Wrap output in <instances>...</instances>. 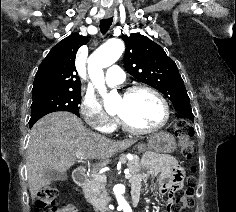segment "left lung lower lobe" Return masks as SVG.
I'll return each instance as SVG.
<instances>
[{
    "label": "left lung lower lobe",
    "mask_w": 236,
    "mask_h": 212,
    "mask_svg": "<svg viewBox=\"0 0 236 212\" xmlns=\"http://www.w3.org/2000/svg\"><path fill=\"white\" fill-rule=\"evenodd\" d=\"M177 117L179 118H187L191 121H193L194 116L193 113L191 111V107H181L178 111H177Z\"/></svg>",
    "instance_id": "obj_1"
}]
</instances>
